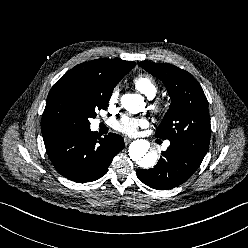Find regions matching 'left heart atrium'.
<instances>
[{"label":"left heart atrium","instance_id":"left-heart-atrium-1","mask_svg":"<svg viewBox=\"0 0 248 248\" xmlns=\"http://www.w3.org/2000/svg\"><path fill=\"white\" fill-rule=\"evenodd\" d=\"M147 125L144 118L124 117L115 123V128L127 135H136L140 127Z\"/></svg>","mask_w":248,"mask_h":248}]
</instances>
